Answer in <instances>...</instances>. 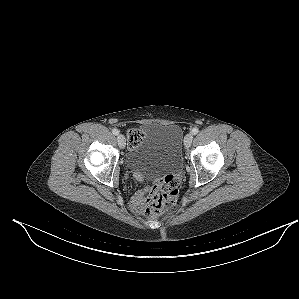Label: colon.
Masks as SVG:
<instances>
[{
  "label": "colon",
  "mask_w": 299,
  "mask_h": 299,
  "mask_svg": "<svg viewBox=\"0 0 299 299\" xmlns=\"http://www.w3.org/2000/svg\"><path fill=\"white\" fill-rule=\"evenodd\" d=\"M128 144L131 148L136 147L141 139L142 133L138 129H130L127 132ZM180 187V178L175 174H169L152 187L151 198L146 212L152 217H158L170 209L176 201Z\"/></svg>",
  "instance_id": "colon-1"
}]
</instances>
